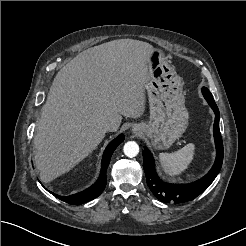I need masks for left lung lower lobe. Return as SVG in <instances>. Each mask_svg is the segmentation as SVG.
<instances>
[{
    "instance_id": "left-lung-lower-lobe-1",
    "label": "left lung lower lobe",
    "mask_w": 246,
    "mask_h": 246,
    "mask_svg": "<svg viewBox=\"0 0 246 246\" xmlns=\"http://www.w3.org/2000/svg\"><path fill=\"white\" fill-rule=\"evenodd\" d=\"M202 93L215 113L214 139L216 144V160L211 170L200 180L190 184H170L163 182L156 174L151 153L143 151V167L147 184L152 193L166 203H183L195 199L206 190L218 175L223 162V142L219 129V110L210 91L203 87Z\"/></svg>"
}]
</instances>
